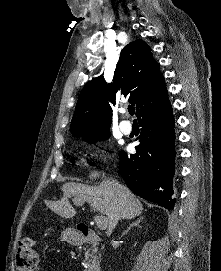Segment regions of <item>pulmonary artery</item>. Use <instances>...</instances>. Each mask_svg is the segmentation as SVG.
Wrapping results in <instances>:
<instances>
[{"instance_id":"1","label":"pulmonary artery","mask_w":221,"mask_h":271,"mask_svg":"<svg viewBox=\"0 0 221 271\" xmlns=\"http://www.w3.org/2000/svg\"><path fill=\"white\" fill-rule=\"evenodd\" d=\"M122 118H125V117H122ZM118 126H120L122 132L125 134V135H128L130 132H131V127H126V121H118Z\"/></svg>"}]
</instances>
